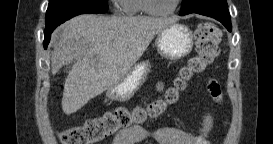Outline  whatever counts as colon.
<instances>
[{
	"instance_id": "obj_1",
	"label": "colon",
	"mask_w": 273,
	"mask_h": 144,
	"mask_svg": "<svg viewBox=\"0 0 273 144\" xmlns=\"http://www.w3.org/2000/svg\"><path fill=\"white\" fill-rule=\"evenodd\" d=\"M220 31L210 21L202 22L195 32L197 54L190 59L163 97L133 109L117 107L101 117L87 120L83 125L68 128L61 133L64 144H92L100 142L134 124L160 115L169 104L176 102L187 81L200 74L213 62L219 52Z\"/></svg>"
}]
</instances>
